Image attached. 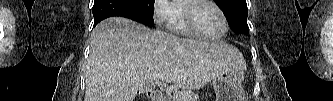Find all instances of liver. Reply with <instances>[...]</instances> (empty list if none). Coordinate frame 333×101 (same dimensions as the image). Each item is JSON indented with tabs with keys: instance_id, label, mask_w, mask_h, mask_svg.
Here are the masks:
<instances>
[{
	"instance_id": "obj_1",
	"label": "liver",
	"mask_w": 333,
	"mask_h": 101,
	"mask_svg": "<svg viewBox=\"0 0 333 101\" xmlns=\"http://www.w3.org/2000/svg\"><path fill=\"white\" fill-rule=\"evenodd\" d=\"M240 52L223 43L182 39L123 17L91 34L84 101H134L154 88L153 76L200 89L230 69H245Z\"/></svg>"
}]
</instances>
